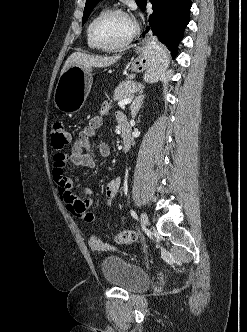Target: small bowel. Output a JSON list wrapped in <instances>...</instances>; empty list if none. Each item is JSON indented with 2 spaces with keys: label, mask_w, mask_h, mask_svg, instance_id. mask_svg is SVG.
<instances>
[{
  "label": "small bowel",
  "mask_w": 247,
  "mask_h": 332,
  "mask_svg": "<svg viewBox=\"0 0 247 332\" xmlns=\"http://www.w3.org/2000/svg\"><path fill=\"white\" fill-rule=\"evenodd\" d=\"M107 109L108 105L105 104L103 108L104 112ZM121 115L123 114L118 113L117 118ZM102 126L103 118L101 116L92 117L88 121V124L79 131L70 153L60 152L54 155L52 175L60 197L74 216L87 222H91L96 218V214L90 209L92 205V190L86 187L84 188V196L74 194L72 191V182L66 176L65 170L69 163L76 167L87 169L95 167L96 162L92 154L90 139L95 135L96 130ZM98 150L103 158H107L110 155V148L105 143L99 144ZM120 187L121 179L118 177L107 184L105 188L107 206H111Z\"/></svg>",
  "instance_id": "small-bowel-1"
}]
</instances>
